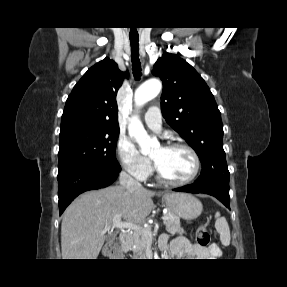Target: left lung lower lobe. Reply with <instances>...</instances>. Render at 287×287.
Wrapping results in <instances>:
<instances>
[{"mask_svg":"<svg viewBox=\"0 0 287 287\" xmlns=\"http://www.w3.org/2000/svg\"><path fill=\"white\" fill-rule=\"evenodd\" d=\"M174 191L188 192V193H205L216 197L227 208L230 204L229 187L221 184H192L184 187L176 188Z\"/></svg>","mask_w":287,"mask_h":287,"instance_id":"1","label":"left lung lower lobe"}]
</instances>
